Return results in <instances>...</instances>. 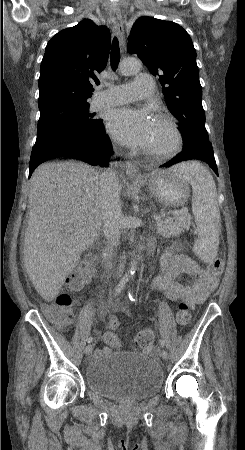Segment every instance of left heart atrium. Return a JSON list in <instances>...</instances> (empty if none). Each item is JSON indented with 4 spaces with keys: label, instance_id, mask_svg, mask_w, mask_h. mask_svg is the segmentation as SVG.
I'll return each mask as SVG.
<instances>
[{
    "label": "left heart atrium",
    "instance_id": "left-heart-atrium-1",
    "mask_svg": "<svg viewBox=\"0 0 245 450\" xmlns=\"http://www.w3.org/2000/svg\"><path fill=\"white\" fill-rule=\"evenodd\" d=\"M106 125L114 139L136 149L147 147L154 122L146 109L124 106L108 114Z\"/></svg>",
    "mask_w": 245,
    "mask_h": 450
}]
</instances>
